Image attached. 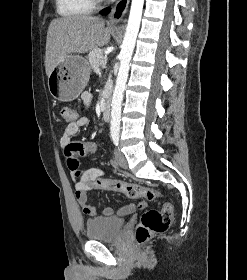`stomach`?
<instances>
[{
	"label": "stomach",
	"mask_w": 247,
	"mask_h": 280,
	"mask_svg": "<svg viewBox=\"0 0 247 280\" xmlns=\"http://www.w3.org/2000/svg\"><path fill=\"white\" fill-rule=\"evenodd\" d=\"M89 76L88 61L81 56L68 55L50 73L48 88L59 101L70 102L79 97Z\"/></svg>",
	"instance_id": "0dacf381"
}]
</instances>
